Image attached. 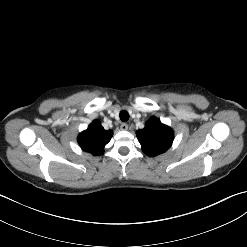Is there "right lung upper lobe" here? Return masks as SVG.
Listing matches in <instances>:
<instances>
[{"label": "right lung upper lobe", "mask_w": 247, "mask_h": 247, "mask_svg": "<svg viewBox=\"0 0 247 247\" xmlns=\"http://www.w3.org/2000/svg\"><path fill=\"white\" fill-rule=\"evenodd\" d=\"M112 135V131H106L100 122L95 120L88 126L87 130L80 133L78 143L84 151L94 156L100 155L103 153V148L110 141Z\"/></svg>", "instance_id": "cb5924a9"}]
</instances>
